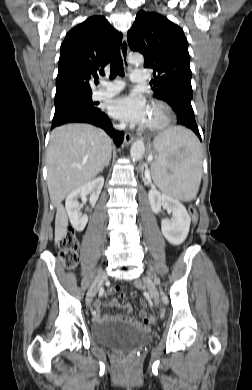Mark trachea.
<instances>
[{
  "label": "trachea",
  "mask_w": 252,
  "mask_h": 390,
  "mask_svg": "<svg viewBox=\"0 0 252 390\" xmlns=\"http://www.w3.org/2000/svg\"><path fill=\"white\" fill-rule=\"evenodd\" d=\"M110 70H111L110 78H114L117 75L124 76L123 61L119 52L115 54L111 62Z\"/></svg>",
  "instance_id": "1"
}]
</instances>
